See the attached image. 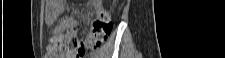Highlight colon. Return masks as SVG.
I'll use <instances>...</instances> for the list:
<instances>
[{
  "instance_id": "colon-1",
  "label": "colon",
  "mask_w": 225,
  "mask_h": 58,
  "mask_svg": "<svg viewBox=\"0 0 225 58\" xmlns=\"http://www.w3.org/2000/svg\"><path fill=\"white\" fill-rule=\"evenodd\" d=\"M93 16L91 30L84 40L78 38V28L70 23L67 25V32L64 36H58L52 40L49 47L50 56L64 58L72 55L73 58H83L88 51L100 48L111 34V17L109 12L102 7H97Z\"/></svg>"
}]
</instances>
